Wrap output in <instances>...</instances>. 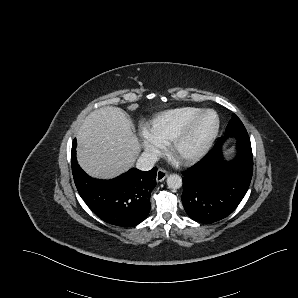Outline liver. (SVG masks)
<instances>
[{"label": "liver", "instance_id": "obj_1", "mask_svg": "<svg viewBox=\"0 0 298 298\" xmlns=\"http://www.w3.org/2000/svg\"><path fill=\"white\" fill-rule=\"evenodd\" d=\"M130 123L126 113L113 106L86 116L77 132V160L89 175L113 178L134 166L141 145Z\"/></svg>", "mask_w": 298, "mask_h": 298}]
</instances>
